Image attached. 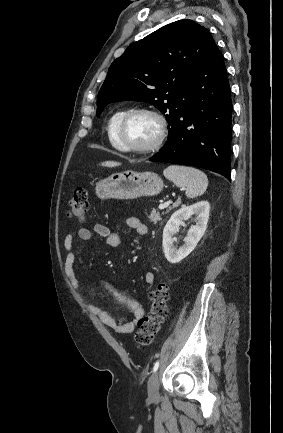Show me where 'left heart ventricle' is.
Wrapping results in <instances>:
<instances>
[{"label": "left heart ventricle", "instance_id": "left-heart-ventricle-1", "mask_svg": "<svg viewBox=\"0 0 283 433\" xmlns=\"http://www.w3.org/2000/svg\"><path fill=\"white\" fill-rule=\"evenodd\" d=\"M159 134V121L145 113L135 115L124 130L126 142L138 148L151 146L158 139Z\"/></svg>", "mask_w": 283, "mask_h": 433}]
</instances>
